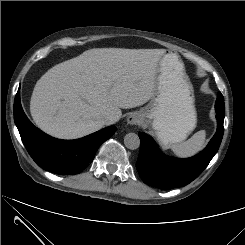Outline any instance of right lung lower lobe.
<instances>
[{"mask_svg":"<svg viewBox=\"0 0 245 245\" xmlns=\"http://www.w3.org/2000/svg\"><path fill=\"white\" fill-rule=\"evenodd\" d=\"M14 120L27 151L37 165L59 175H74L84 170L100 145L116 131V127L109 126L76 140L53 138L27 118L21 106L20 91L15 97Z\"/></svg>","mask_w":245,"mask_h":245,"instance_id":"1","label":"right lung lower lobe"}]
</instances>
